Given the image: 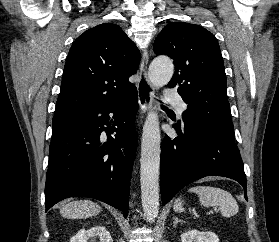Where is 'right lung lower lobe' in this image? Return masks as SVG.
Returning <instances> with one entry per match:
<instances>
[{
  "label": "right lung lower lobe",
  "instance_id": "98d812e1",
  "mask_svg": "<svg viewBox=\"0 0 279 242\" xmlns=\"http://www.w3.org/2000/svg\"><path fill=\"white\" fill-rule=\"evenodd\" d=\"M138 93L110 106L86 108L56 119L45 185L46 211L68 197H90L128 215L136 153ZM105 131L107 139L101 133ZM113 132L115 135L111 136Z\"/></svg>",
  "mask_w": 279,
  "mask_h": 242
}]
</instances>
